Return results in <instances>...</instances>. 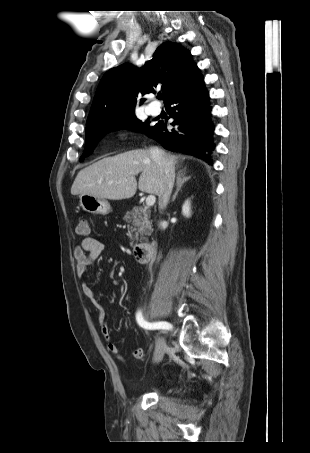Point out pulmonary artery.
<instances>
[{"instance_id":"1","label":"pulmonary artery","mask_w":310,"mask_h":453,"mask_svg":"<svg viewBox=\"0 0 310 453\" xmlns=\"http://www.w3.org/2000/svg\"><path fill=\"white\" fill-rule=\"evenodd\" d=\"M147 110H148V112H149L151 115H154V116H156V115H158V114L160 113V109H159V108H155V107H153V106H148V107H147Z\"/></svg>"}]
</instances>
